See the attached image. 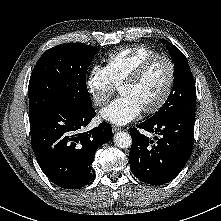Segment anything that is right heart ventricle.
I'll return each instance as SVG.
<instances>
[{"label":"right heart ventricle","mask_w":221,"mask_h":221,"mask_svg":"<svg viewBox=\"0 0 221 221\" xmlns=\"http://www.w3.org/2000/svg\"><path fill=\"white\" fill-rule=\"evenodd\" d=\"M158 52L145 45H135L109 53L107 69L115 85L121 84L148 57Z\"/></svg>","instance_id":"obj_1"}]
</instances>
